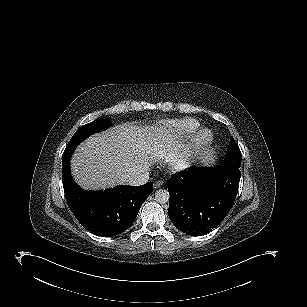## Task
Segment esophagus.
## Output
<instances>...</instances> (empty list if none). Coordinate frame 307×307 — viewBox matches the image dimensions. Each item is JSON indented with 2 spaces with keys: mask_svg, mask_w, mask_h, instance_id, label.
<instances>
[{
  "mask_svg": "<svg viewBox=\"0 0 307 307\" xmlns=\"http://www.w3.org/2000/svg\"><path fill=\"white\" fill-rule=\"evenodd\" d=\"M163 185V181L162 180H158L154 183L153 187L154 189H158Z\"/></svg>",
  "mask_w": 307,
  "mask_h": 307,
  "instance_id": "34e87169",
  "label": "esophagus"
}]
</instances>
